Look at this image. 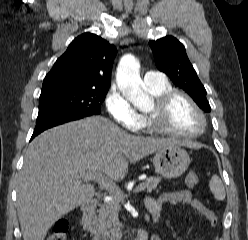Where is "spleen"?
Instances as JSON below:
<instances>
[{"label":"spleen","mask_w":248,"mask_h":240,"mask_svg":"<svg viewBox=\"0 0 248 240\" xmlns=\"http://www.w3.org/2000/svg\"><path fill=\"white\" fill-rule=\"evenodd\" d=\"M209 187H210L211 192L214 194V197L217 200L225 199V195H226L225 189H224L221 179L217 175L212 176L210 183H209Z\"/></svg>","instance_id":"3e777b00"}]
</instances>
